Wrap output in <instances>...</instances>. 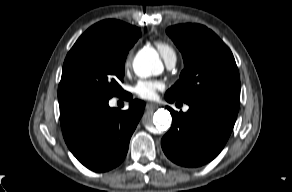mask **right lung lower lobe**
Here are the masks:
<instances>
[{
	"mask_svg": "<svg viewBox=\"0 0 292 192\" xmlns=\"http://www.w3.org/2000/svg\"><path fill=\"white\" fill-rule=\"evenodd\" d=\"M129 109L110 108V98L86 91L58 93L60 122L65 142L73 155L88 169L105 172L125 158L130 138L143 115L145 104L132 100L126 92Z\"/></svg>",
	"mask_w": 292,
	"mask_h": 192,
	"instance_id": "1",
	"label": "right lung lower lobe"
}]
</instances>
